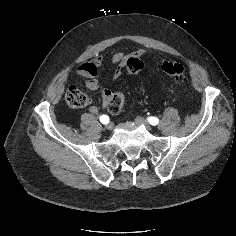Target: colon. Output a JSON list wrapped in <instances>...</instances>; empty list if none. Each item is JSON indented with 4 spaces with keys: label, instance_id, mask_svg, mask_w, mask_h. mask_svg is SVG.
Returning <instances> with one entry per match:
<instances>
[{
    "label": "colon",
    "instance_id": "colon-1",
    "mask_svg": "<svg viewBox=\"0 0 236 236\" xmlns=\"http://www.w3.org/2000/svg\"><path fill=\"white\" fill-rule=\"evenodd\" d=\"M143 67L144 62L139 58L132 57L127 62V69L131 73L139 72ZM162 70L177 83H182L185 80V69L179 62L165 61L162 64ZM65 100L67 105L72 109L84 108L89 103L86 94L76 86H70L67 89ZM124 100L125 97L123 93L114 94L107 105L108 111L112 114L119 113L123 107Z\"/></svg>",
    "mask_w": 236,
    "mask_h": 236
}]
</instances>
